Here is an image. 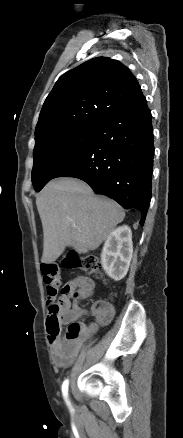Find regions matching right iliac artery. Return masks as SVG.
<instances>
[{"label":"right iliac artery","instance_id":"obj_1","mask_svg":"<svg viewBox=\"0 0 183 438\" xmlns=\"http://www.w3.org/2000/svg\"><path fill=\"white\" fill-rule=\"evenodd\" d=\"M68 385H69V381L65 380L62 384V393H63V396H64L67 404L70 405V403L68 401Z\"/></svg>","mask_w":183,"mask_h":438}]
</instances>
